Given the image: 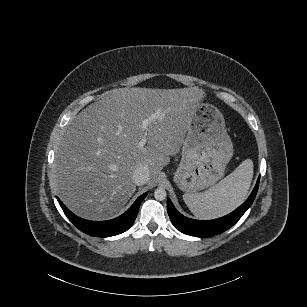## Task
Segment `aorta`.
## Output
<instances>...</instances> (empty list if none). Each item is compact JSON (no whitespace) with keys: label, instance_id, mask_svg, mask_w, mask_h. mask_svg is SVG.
Returning <instances> with one entry per match:
<instances>
[{"label":"aorta","instance_id":"aorta-1","mask_svg":"<svg viewBox=\"0 0 307 307\" xmlns=\"http://www.w3.org/2000/svg\"><path fill=\"white\" fill-rule=\"evenodd\" d=\"M154 197L156 200H164L166 198V191L164 188H157L154 192Z\"/></svg>","mask_w":307,"mask_h":307}]
</instances>
